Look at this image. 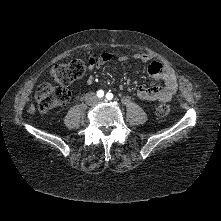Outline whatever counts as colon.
Segmentation results:
<instances>
[{"instance_id": "1", "label": "colon", "mask_w": 221, "mask_h": 221, "mask_svg": "<svg viewBox=\"0 0 221 221\" xmlns=\"http://www.w3.org/2000/svg\"><path fill=\"white\" fill-rule=\"evenodd\" d=\"M85 72L86 65L79 59L55 66L51 73L59 85L43 84L38 87L35 93V100L39 110L41 112H48L58 106L66 104L70 99V92L66 88V85L83 77ZM169 112L170 107L167 104H160L156 108V114L159 117H165Z\"/></svg>"}]
</instances>
